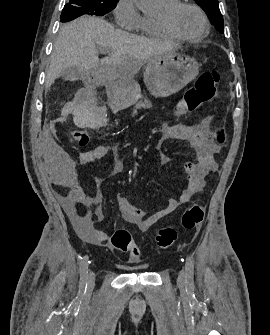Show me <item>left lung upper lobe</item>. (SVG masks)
I'll use <instances>...</instances> for the list:
<instances>
[{
  "mask_svg": "<svg viewBox=\"0 0 270 335\" xmlns=\"http://www.w3.org/2000/svg\"><path fill=\"white\" fill-rule=\"evenodd\" d=\"M196 3L205 11L211 24L221 33L224 32L223 17L219 9L218 0H195Z\"/></svg>",
  "mask_w": 270,
  "mask_h": 335,
  "instance_id": "5c2ea615",
  "label": "left lung upper lobe"
}]
</instances>
